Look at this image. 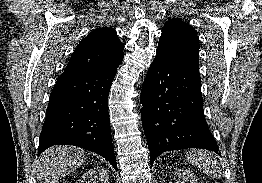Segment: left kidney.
Wrapping results in <instances>:
<instances>
[{
    "label": "left kidney",
    "instance_id": "1",
    "mask_svg": "<svg viewBox=\"0 0 262 183\" xmlns=\"http://www.w3.org/2000/svg\"><path fill=\"white\" fill-rule=\"evenodd\" d=\"M175 176L177 179L176 183H197V177L195 174L185 169H178L175 172Z\"/></svg>",
    "mask_w": 262,
    "mask_h": 183
}]
</instances>
